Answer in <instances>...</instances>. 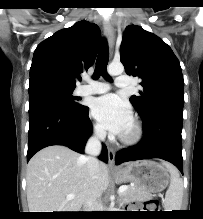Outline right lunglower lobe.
<instances>
[{"instance_id":"98d812e1","label":"right lung lower lobe","mask_w":203,"mask_h":219,"mask_svg":"<svg viewBox=\"0 0 203 219\" xmlns=\"http://www.w3.org/2000/svg\"><path fill=\"white\" fill-rule=\"evenodd\" d=\"M88 107L70 109L57 101L36 99L29 102V138L27 161L39 150L52 145H63L83 153L91 135ZM108 161V152L103 144L99 157Z\"/></svg>"}]
</instances>
